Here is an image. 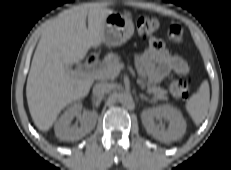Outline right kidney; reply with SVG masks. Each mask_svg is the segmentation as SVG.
I'll return each mask as SVG.
<instances>
[{
    "instance_id": "ca27d5eb",
    "label": "right kidney",
    "mask_w": 231,
    "mask_h": 170,
    "mask_svg": "<svg viewBox=\"0 0 231 170\" xmlns=\"http://www.w3.org/2000/svg\"><path fill=\"white\" fill-rule=\"evenodd\" d=\"M82 111L80 102L71 105L55 123V135L62 141H77L90 133L97 121V112L92 111L84 115L80 127L71 126V121L75 116H79Z\"/></svg>"
}]
</instances>
